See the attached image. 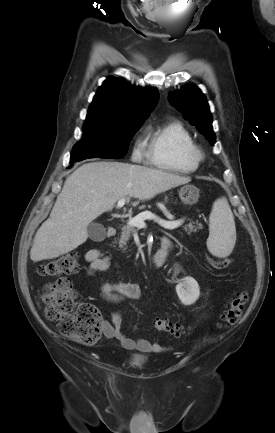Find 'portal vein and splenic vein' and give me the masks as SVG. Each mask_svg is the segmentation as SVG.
<instances>
[{
  "instance_id": "18ae733b",
  "label": "portal vein and splenic vein",
  "mask_w": 275,
  "mask_h": 433,
  "mask_svg": "<svg viewBox=\"0 0 275 433\" xmlns=\"http://www.w3.org/2000/svg\"><path fill=\"white\" fill-rule=\"evenodd\" d=\"M126 202L125 198H122L117 203V208L123 207ZM145 220H154L157 224H159L161 227L165 229H175L178 228L182 223L183 220H163L158 218L156 215L152 214L151 212H144L139 214L138 216L130 219L128 221V224L134 227H142L145 225Z\"/></svg>"
}]
</instances>
